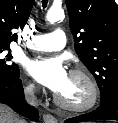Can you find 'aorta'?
I'll use <instances>...</instances> for the list:
<instances>
[{
	"label": "aorta",
	"instance_id": "obj_1",
	"mask_svg": "<svg viewBox=\"0 0 118 123\" xmlns=\"http://www.w3.org/2000/svg\"><path fill=\"white\" fill-rule=\"evenodd\" d=\"M64 18V11L62 8L60 7H51L46 15V20L53 24L57 21H60Z\"/></svg>",
	"mask_w": 118,
	"mask_h": 123
}]
</instances>
